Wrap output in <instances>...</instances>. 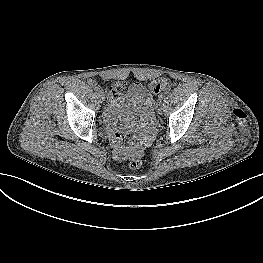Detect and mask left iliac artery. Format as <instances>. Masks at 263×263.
<instances>
[{
    "instance_id": "1",
    "label": "left iliac artery",
    "mask_w": 263,
    "mask_h": 263,
    "mask_svg": "<svg viewBox=\"0 0 263 263\" xmlns=\"http://www.w3.org/2000/svg\"><path fill=\"white\" fill-rule=\"evenodd\" d=\"M158 96L164 98V97L166 96V93H165L164 91H160V92L158 93Z\"/></svg>"
}]
</instances>
